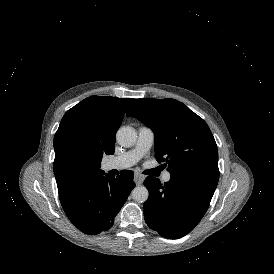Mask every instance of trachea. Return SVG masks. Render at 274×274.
<instances>
[{
	"instance_id": "3493384b",
	"label": "trachea",
	"mask_w": 274,
	"mask_h": 274,
	"mask_svg": "<svg viewBox=\"0 0 274 274\" xmlns=\"http://www.w3.org/2000/svg\"><path fill=\"white\" fill-rule=\"evenodd\" d=\"M143 173H144V174H148V170H146V171H143Z\"/></svg>"
}]
</instances>
